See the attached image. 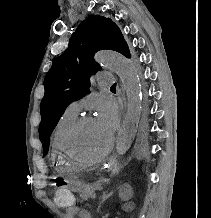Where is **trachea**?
Instances as JSON below:
<instances>
[{
  "instance_id": "obj_1",
  "label": "trachea",
  "mask_w": 211,
  "mask_h": 218,
  "mask_svg": "<svg viewBox=\"0 0 211 218\" xmlns=\"http://www.w3.org/2000/svg\"><path fill=\"white\" fill-rule=\"evenodd\" d=\"M111 88H116V83H114Z\"/></svg>"
}]
</instances>
